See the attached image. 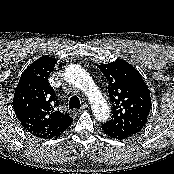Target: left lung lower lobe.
<instances>
[{
    "label": "left lung lower lobe",
    "mask_w": 174,
    "mask_h": 174,
    "mask_svg": "<svg viewBox=\"0 0 174 174\" xmlns=\"http://www.w3.org/2000/svg\"><path fill=\"white\" fill-rule=\"evenodd\" d=\"M101 128H102V131L111 138H116L119 140L127 138V136H123V135L111 132L108 128L104 127L103 125L101 126Z\"/></svg>",
    "instance_id": "0a47b994"
}]
</instances>
